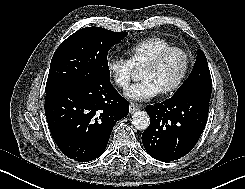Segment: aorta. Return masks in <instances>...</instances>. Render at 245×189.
Instances as JSON below:
<instances>
[{"instance_id":"762f6f07","label":"aorta","mask_w":245,"mask_h":189,"mask_svg":"<svg viewBox=\"0 0 245 189\" xmlns=\"http://www.w3.org/2000/svg\"><path fill=\"white\" fill-rule=\"evenodd\" d=\"M150 119L145 111H137L132 115V125L137 130H145L148 128Z\"/></svg>"}]
</instances>
